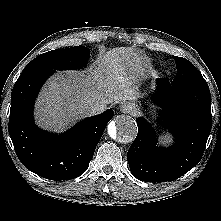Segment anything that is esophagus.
I'll return each instance as SVG.
<instances>
[{"mask_svg": "<svg viewBox=\"0 0 221 221\" xmlns=\"http://www.w3.org/2000/svg\"><path fill=\"white\" fill-rule=\"evenodd\" d=\"M120 109L123 113H128L131 111L130 105H126V104L122 105Z\"/></svg>", "mask_w": 221, "mask_h": 221, "instance_id": "34e87169", "label": "esophagus"}]
</instances>
